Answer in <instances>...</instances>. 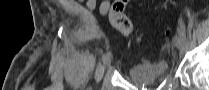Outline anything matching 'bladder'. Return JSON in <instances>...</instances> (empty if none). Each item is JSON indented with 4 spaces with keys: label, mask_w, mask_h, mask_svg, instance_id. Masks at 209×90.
I'll use <instances>...</instances> for the list:
<instances>
[{
    "label": "bladder",
    "mask_w": 209,
    "mask_h": 90,
    "mask_svg": "<svg viewBox=\"0 0 209 90\" xmlns=\"http://www.w3.org/2000/svg\"><path fill=\"white\" fill-rule=\"evenodd\" d=\"M167 71L166 62L143 59L129 68L128 76L132 81L148 86L166 77Z\"/></svg>",
    "instance_id": "obj_1"
}]
</instances>
